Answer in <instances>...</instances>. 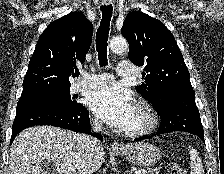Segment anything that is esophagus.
<instances>
[{"mask_svg":"<svg viewBox=\"0 0 224 174\" xmlns=\"http://www.w3.org/2000/svg\"><path fill=\"white\" fill-rule=\"evenodd\" d=\"M103 4L108 5L111 3V0H102ZM111 148L114 150H122L125 149V145L122 142L114 141L111 144Z\"/></svg>","mask_w":224,"mask_h":174,"instance_id":"1","label":"esophagus"}]
</instances>
